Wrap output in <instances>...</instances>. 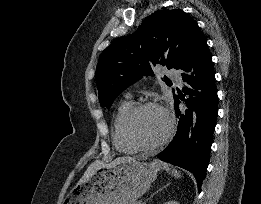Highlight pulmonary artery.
<instances>
[{
  "instance_id": "1",
  "label": "pulmonary artery",
  "mask_w": 261,
  "mask_h": 204,
  "mask_svg": "<svg viewBox=\"0 0 261 204\" xmlns=\"http://www.w3.org/2000/svg\"><path fill=\"white\" fill-rule=\"evenodd\" d=\"M168 76H169L171 79L175 80L177 83H179V84L182 83L181 75H180L177 71H175V70H170V71L168 72Z\"/></svg>"
}]
</instances>
